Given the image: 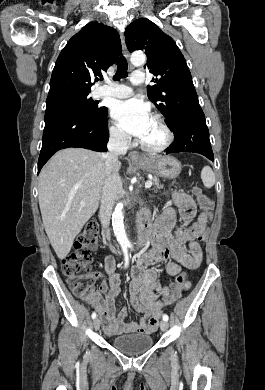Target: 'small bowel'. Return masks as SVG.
Here are the masks:
<instances>
[{
  "instance_id": "c3829d8e",
  "label": "small bowel",
  "mask_w": 265,
  "mask_h": 390,
  "mask_svg": "<svg viewBox=\"0 0 265 390\" xmlns=\"http://www.w3.org/2000/svg\"><path fill=\"white\" fill-rule=\"evenodd\" d=\"M173 202L179 208L184 226L175 230L176 212L167 207L156 219L151 231L152 248L131 270V283L128 290L129 304L118 310L117 298L121 293L120 278L116 272V263L112 256L105 258L107 278L102 282L99 291L88 300L103 321V330L109 335L124 333L148 334L156 330L158 321L166 306L162 297L170 286H162L157 281L156 270L149 268L153 263L168 262L166 272L177 276L181 268L196 269L202 260V252L198 243L204 236L207 217L201 214L197 221L189 225L196 215V205L191 196L177 191L173 194ZM149 219L150 212L142 215ZM189 245V250L185 245ZM190 287L186 284L184 290ZM130 310L142 314L139 322H125Z\"/></svg>"
}]
</instances>
